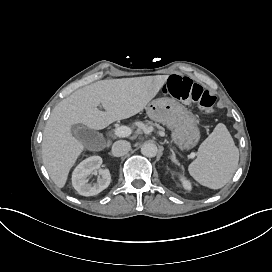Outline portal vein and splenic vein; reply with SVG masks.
I'll list each match as a JSON object with an SVG mask.
<instances>
[{"instance_id":"obj_1","label":"portal vein and splenic vein","mask_w":272,"mask_h":272,"mask_svg":"<svg viewBox=\"0 0 272 272\" xmlns=\"http://www.w3.org/2000/svg\"><path fill=\"white\" fill-rule=\"evenodd\" d=\"M113 132L118 137H127L131 134V130L127 126L116 127Z\"/></svg>"}]
</instances>
